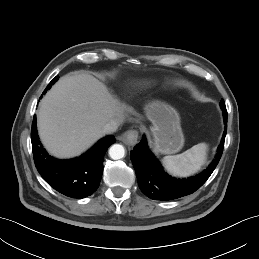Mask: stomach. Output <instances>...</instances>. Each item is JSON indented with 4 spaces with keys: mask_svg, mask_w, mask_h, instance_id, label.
<instances>
[{
    "mask_svg": "<svg viewBox=\"0 0 259 259\" xmlns=\"http://www.w3.org/2000/svg\"><path fill=\"white\" fill-rule=\"evenodd\" d=\"M146 115L153 124L155 151L164 154L180 151L184 137L177 111L167 104L152 102L146 106Z\"/></svg>",
    "mask_w": 259,
    "mask_h": 259,
    "instance_id": "obj_1",
    "label": "stomach"
}]
</instances>
